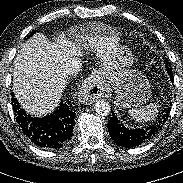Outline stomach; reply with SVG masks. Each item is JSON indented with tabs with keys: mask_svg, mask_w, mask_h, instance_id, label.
I'll return each mask as SVG.
<instances>
[{
	"mask_svg": "<svg viewBox=\"0 0 183 183\" xmlns=\"http://www.w3.org/2000/svg\"><path fill=\"white\" fill-rule=\"evenodd\" d=\"M134 55L124 46L114 49L109 61L100 70L102 79L109 80L115 89V104L119 108L140 107L151 97L150 83L145 75L129 69Z\"/></svg>",
	"mask_w": 183,
	"mask_h": 183,
	"instance_id": "stomach-1",
	"label": "stomach"
}]
</instances>
